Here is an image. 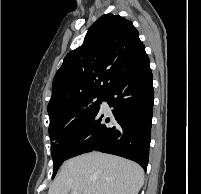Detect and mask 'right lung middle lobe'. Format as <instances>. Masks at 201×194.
Listing matches in <instances>:
<instances>
[{
	"instance_id": "1",
	"label": "right lung middle lobe",
	"mask_w": 201,
	"mask_h": 194,
	"mask_svg": "<svg viewBox=\"0 0 201 194\" xmlns=\"http://www.w3.org/2000/svg\"><path fill=\"white\" fill-rule=\"evenodd\" d=\"M103 95L84 98L63 111L57 116L50 117L49 136L51 141V154L54 160L53 177L63 162L57 155L61 143L83 122L91 118L99 109Z\"/></svg>"
}]
</instances>
